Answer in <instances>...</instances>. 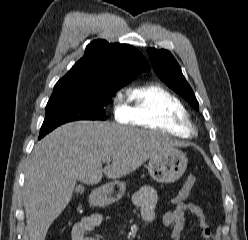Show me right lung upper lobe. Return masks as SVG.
Wrapping results in <instances>:
<instances>
[{
    "mask_svg": "<svg viewBox=\"0 0 248 240\" xmlns=\"http://www.w3.org/2000/svg\"><path fill=\"white\" fill-rule=\"evenodd\" d=\"M149 69L147 60L133 46L97 39L87 45L84 56L56 83L54 90L123 87Z\"/></svg>",
    "mask_w": 248,
    "mask_h": 240,
    "instance_id": "cb5924a9",
    "label": "right lung upper lobe"
}]
</instances>
